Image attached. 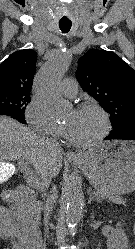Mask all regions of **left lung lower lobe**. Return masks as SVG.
<instances>
[{"mask_svg":"<svg viewBox=\"0 0 135 249\" xmlns=\"http://www.w3.org/2000/svg\"><path fill=\"white\" fill-rule=\"evenodd\" d=\"M111 139H125V140H135V119L130 121V126L121 131H112L105 140Z\"/></svg>","mask_w":135,"mask_h":249,"instance_id":"obj_1","label":"left lung lower lobe"}]
</instances>
